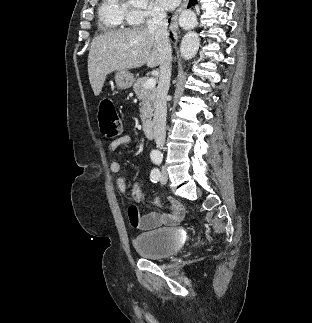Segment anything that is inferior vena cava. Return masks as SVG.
Masks as SVG:
<instances>
[{
  "label": "inferior vena cava",
  "instance_id": "1",
  "mask_svg": "<svg viewBox=\"0 0 312 323\" xmlns=\"http://www.w3.org/2000/svg\"><path fill=\"white\" fill-rule=\"evenodd\" d=\"M149 28H154L159 38V44L161 48V60H160V78L158 82L155 112L153 118V132L154 140L162 150H165V138H166V98L170 88L171 80V62H172V48L170 40L168 38V20L167 14L162 8H155L152 18L147 22Z\"/></svg>",
  "mask_w": 312,
  "mask_h": 323
}]
</instances>
